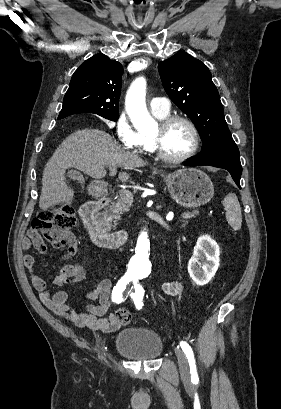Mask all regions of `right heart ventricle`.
<instances>
[{"instance_id": "1", "label": "right heart ventricle", "mask_w": 281, "mask_h": 409, "mask_svg": "<svg viewBox=\"0 0 281 409\" xmlns=\"http://www.w3.org/2000/svg\"><path fill=\"white\" fill-rule=\"evenodd\" d=\"M154 115H155L159 120H161V119H163V118H165V117L167 116V113L162 114V113L154 112ZM137 148H138L139 150H143V151L150 152V149H149V146H148V141H147V138H146V135H145V134H139V135H138V145H137Z\"/></svg>"}]
</instances>
